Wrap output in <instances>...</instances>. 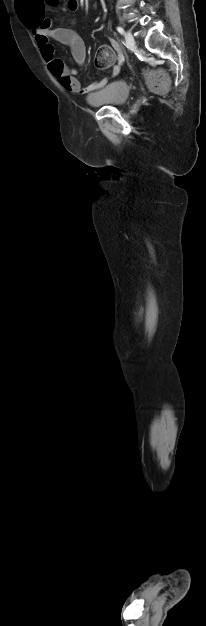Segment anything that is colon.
Here are the masks:
<instances>
[{
    "mask_svg": "<svg viewBox=\"0 0 206 626\" xmlns=\"http://www.w3.org/2000/svg\"><path fill=\"white\" fill-rule=\"evenodd\" d=\"M28 25H32L29 19L26 20ZM115 51L109 45H102L95 57V65L99 69L109 68L115 60ZM144 76L149 87L157 93H164L169 87V79L167 75L161 70H147L144 72Z\"/></svg>",
    "mask_w": 206,
    "mask_h": 626,
    "instance_id": "obj_1",
    "label": "colon"
}]
</instances>
